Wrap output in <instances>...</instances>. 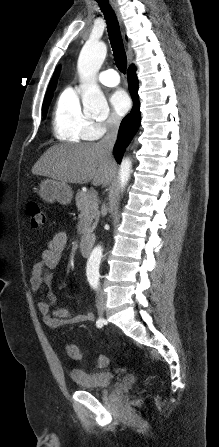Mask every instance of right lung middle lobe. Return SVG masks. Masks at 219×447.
<instances>
[{"label": "right lung middle lobe", "instance_id": "right-lung-middle-lobe-1", "mask_svg": "<svg viewBox=\"0 0 219 447\" xmlns=\"http://www.w3.org/2000/svg\"><path fill=\"white\" fill-rule=\"evenodd\" d=\"M51 98H52V96H50V97L44 99L43 107H42V114H43V116L46 115L47 107H48V105H49V103H50V101H51Z\"/></svg>", "mask_w": 219, "mask_h": 447}]
</instances>
